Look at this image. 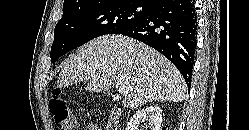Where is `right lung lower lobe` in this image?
I'll list each match as a JSON object with an SVG mask.
<instances>
[{
    "mask_svg": "<svg viewBox=\"0 0 249 130\" xmlns=\"http://www.w3.org/2000/svg\"><path fill=\"white\" fill-rule=\"evenodd\" d=\"M196 8L192 0H159L148 16L119 34L135 38L162 53L191 83L197 44Z\"/></svg>",
    "mask_w": 249,
    "mask_h": 130,
    "instance_id": "right-lung-lower-lobe-1",
    "label": "right lung lower lobe"
}]
</instances>
